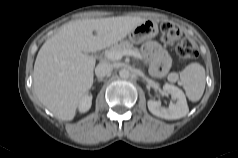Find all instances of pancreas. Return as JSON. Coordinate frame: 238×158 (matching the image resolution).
<instances>
[{
	"instance_id": "obj_1",
	"label": "pancreas",
	"mask_w": 238,
	"mask_h": 158,
	"mask_svg": "<svg viewBox=\"0 0 238 158\" xmlns=\"http://www.w3.org/2000/svg\"><path fill=\"white\" fill-rule=\"evenodd\" d=\"M124 50H134L139 52L138 49L135 48L132 43L128 41H122L119 44H115L113 47L107 50V53L111 51H124Z\"/></svg>"
}]
</instances>
